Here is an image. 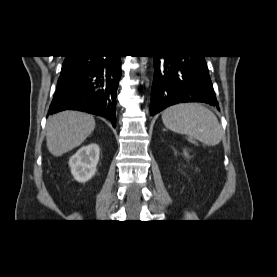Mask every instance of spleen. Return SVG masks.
Here are the masks:
<instances>
[{
    "mask_svg": "<svg viewBox=\"0 0 277 277\" xmlns=\"http://www.w3.org/2000/svg\"><path fill=\"white\" fill-rule=\"evenodd\" d=\"M163 124L170 130L186 134L206 145H217L223 136L215 114L196 103L178 104L162 114Z\"/></svg>",
    "mask_w": 277,
    "mask_h": 277,
    "instance_id": "3e777b00",
    "label": "spleen"
}]
</instances>
